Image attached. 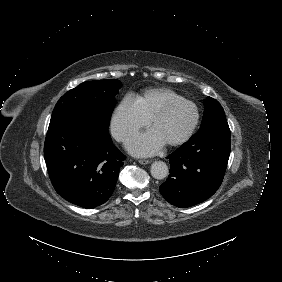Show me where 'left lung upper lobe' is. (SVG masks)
I'll list each match as a JSON object with an SVG mask.
<instances>
[{
	"instance_id": "5c2ea615",
	"label": "left lung upper lobe",
	"mask_w": 282,
	"mask_h": 282,
	"mask_svg": "<svg viewBox=\"0 0 282 282\" xmlns=\"http://www.w3.org/2000/svg\"><path fill=\"white\" fill-rule=\"evenodd\" d=\"M204 106V116L200 129L214 123L227 122L224 110L218 101L207 97L204 99Z\"/></svg>"
}]
</instances>
